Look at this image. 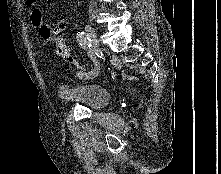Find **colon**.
Wrapping results in <instances>:
<instances>
[{"instance_id":"colon-1","label":"colon","mask_w":221,"mask_h":174,"mask_svg":"<svg viewBox=\"0 0 221 174\" xmlns=\"http://www.w3.org/2000/svg\"><path fill=\"white\" fill-rule=\"evenodd\" d=\"M39 31L45 40L55 43V52L57 55L61 56L64 60L74 65L76 68L83 69L80 62L71 54L69 46L58 29L44 24Z\"/></svg>"}]
</instances>
